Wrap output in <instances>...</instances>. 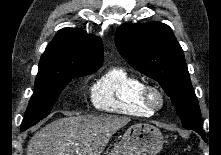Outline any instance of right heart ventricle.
Instances as JSON below:
<instances>
[{
	"label": "right heart ventricle",
	"instance_id": "obj_1",
	"mask_svg": "<svg viewBox=\"0 0 221 155\" xmlns=\"http://www.w3.org/2000/svg\"><path fill=\"white\" fill-rule=\"evenodd\" d=\"M144 82L123 67L102 74L91 88V101L101 111L131 116L153 113L142 101Z\"/></svg>",
	"mask_w": 221,
	"mask_h": 155
}]
</instances>
